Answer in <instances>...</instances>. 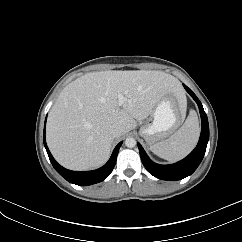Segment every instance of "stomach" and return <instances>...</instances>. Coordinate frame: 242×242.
<instances>
[{"mask_svg":"<svg viewBox=\"0 0 242 242\" xmlns=\"http://www.w3.org/2000/svg\"><path fill=\"white\" fill-rule=\"evenodd\" d=\"M186 107L174 94L165 95L155 106L152 119L140 128V135L148 145L167 138L183 122Z\"/></svg>","mask_w":242,"mask_h":242,"instance_id":"1","label":"stomach"}]
</instances>
